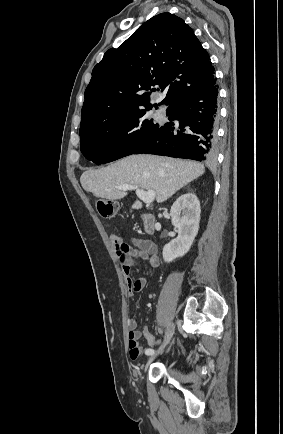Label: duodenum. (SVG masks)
Wrapping results in <instances>:
<instances>
[{
  "instance_id": "410a0bca",
  "label": "duodenum",
  "mask_w": 283,
  "mask_h": 434,
  "mask_svg": "<svg viewBox=\"0 0 283 434\" xmlns=\"http://www.w3.org/2000/svg\"><path fill=\"white\" fill-rule=\"evenodd\" d=\"M144 222L145 232L148 234H153L156 230V221L152 214L145 213L142 216Z\"/></svg>"
}]
</instances>
